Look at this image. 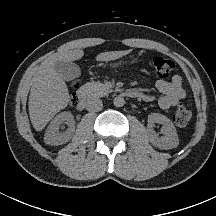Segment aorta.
<instances>
[{
    "label": "aorta",
    "instance_id": "1",
    "mask_svg": "<svg viewBox=\"0 0 216 216\" xmlns=\"http://www.w3.org/2000/svg\"><path fill=\"white\" fill-rule=\"evenodd\" d=\"M113 104L115 107H122L125 104V100L121 96H117L113 100Z\"/></svg>",
    "mask_w": 216,
    "mask_h": 216
}]
</instances>
